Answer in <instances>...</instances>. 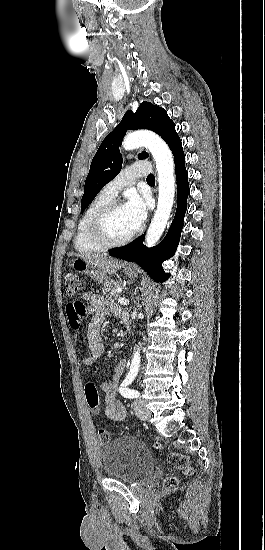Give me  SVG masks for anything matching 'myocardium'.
Instances as JSON below:
<instances>
[{"instance_id": "1", "label": "myocardium", "mask_w": 265, "mask_h": 550, "mask_svg": "<svg viewBox=\"0 0 265 550\" xmlns=\"http://www.w3.org/2000/svg\"><path fill=\"white\" fill-rule=\"evenodd\" d=\"M119 207H122V204L112 200L98 209L89 221L88 234L90 238L103 248L123 246L129 243L136 234V232L133 231L128 236L118 240L111 239L108 236L106 231V222L113 211Z\"/></svg>"}]
</instances>
